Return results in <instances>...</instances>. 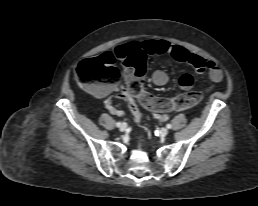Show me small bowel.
<instances>
[{
    "mask_svg": "<svg viewBox=\"0 0 258 206\" xmlns=\"http://www.w3.org/2000/svg\"><path fill=\"white\" fill-rule=\"evenodd\" d=\"M113 56L112 53H107ZM114 54L121 60H127L133 56L141 54L154 55V54H168L175 61L191 66L196 74H201L205 71L208 72V77L211 82H220L223 78L221 68L212 60L194 54L184 47L178 45H172L170 42L163 39H148L142 42L130 41L121 44L115 48ZM114 57V56H113ZM169 80L168 74L165 71L157 70L152 75V81L157 86H163L167 84ZM194 83L193 76L191 74H183L179 78V85L183 90H189ZM114 89L110 87L102 88L98 92V96H108L105 101L107 109L114 115H121L122 111L113 104L115 97H124L123 95H110ZM156 117L164 121L167 119L166 114L156 113Z\"/></svg>",
    "mask_w": 258,
    "mask_h": 206,
    "instance_id": "c3829d8e",
    "label": "small bowel"
}]
</instances>
